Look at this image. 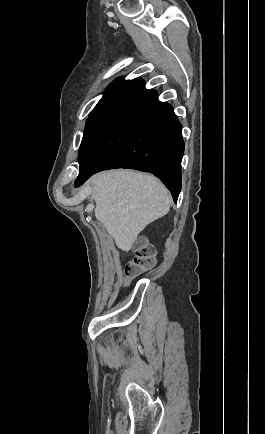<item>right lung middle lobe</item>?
Segmentation results:
<instances>
[{"label": "right lung middle lobe", "mask_w": 265, "mask_h": 434, "mask_svg": "<svg viewBox=\"0 0 265 434\" xmlns=\"http://www.w3.org/2000/svg\"><path fill=\"white\" fill-rule=\"evenodd\" d=\"M128 80L117 79L113 82L108 90L104 93L102 99L98 102L96 107L92 110L86 122V128L82 139V144L79 152V163L86 156L94 138L96 137L100 127L107 118L109 112L114 106L115 102L128 85Z\"/></svg>", "instance_id": "right-lung-middle-lobe-1"}]
</instances>
